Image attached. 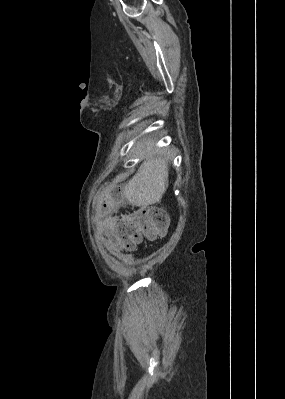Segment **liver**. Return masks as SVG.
Instances as JSON below:
<instances>
[{"instance_id":"obj_1","label":"liver","mask_w":285,"mask_h":399,"mask_svg":"<svg viewBox=\"0 0 285 399\" xmlns=\"http://www.w3.org/2000/svg\"><path fill=\"white\" fill-rule=\"evenodd\" d=\"M168 176V160L148 154L137 173L126 183L124 195L133 206L146 208L153 205L163 197Z\"/></svg>"}]
</instances>
